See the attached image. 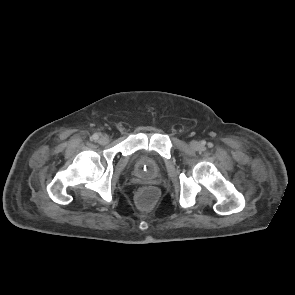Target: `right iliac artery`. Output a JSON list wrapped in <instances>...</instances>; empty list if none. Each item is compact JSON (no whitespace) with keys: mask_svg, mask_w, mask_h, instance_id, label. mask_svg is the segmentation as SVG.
Wrapping results in <instances>:
<instances>
[{"mask_svg":"<svg viewBox=\"0 0 295 295\" xmlns=\"http://www.w3.org/2000/svg\"><path fill=\"white\" fill-rule=\"evenodd\" d=\"M98 138H99V135H98V134H94V135L92 136V139H93V140H98Z\"/></svg>","mask_w":295,"mask_h":295,"instance_id":"right-iliac-artery-1","label":"right iliac artery"}]
</instances>
